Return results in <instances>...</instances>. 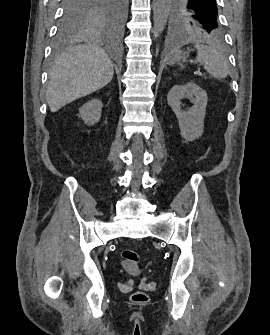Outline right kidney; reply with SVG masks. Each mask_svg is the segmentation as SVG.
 Instances as JSON below:
<instances>
[{
    "instance_id": "ca27d5eb",
    "label": "right kidney",
    "mask_w": 270,
    "mask_h": 335,
    "mask_svg": "<svg viewBox=\"0 0 270 335\" xmlns=\"http://www.w3.org/2000/svg\"><path fill=\"white\" fill-rule=\"evenodd\" d=\"M102 102L101 100H91V102H87V104H83L81 108H79L80 118L84 120L87 126H94L96 122H99L101 118L102 112Z\"/></svg>"
}]
</instances>
